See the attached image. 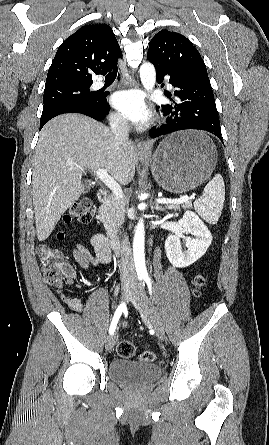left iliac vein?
<instances>
[{
    "label": "left iliac vein",
    "mask_w": 269,
    "mask_h": 445,
    "mask_svg": "<svg viewBox=\"0 0 269 445\" xmlns=\"http://www.w3.org/2000/svg\"><path fill=\"white\" fill-rule=\"evenodd\" d=\"M131 302L139 310L145 324L150 325L156 332L159 339L165 338V331L162 320L147 297L143 285L138 286L130 297Z\"/></svg>",
    "instance_id": "1"
}]
</instances>
